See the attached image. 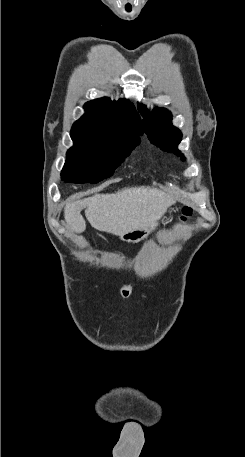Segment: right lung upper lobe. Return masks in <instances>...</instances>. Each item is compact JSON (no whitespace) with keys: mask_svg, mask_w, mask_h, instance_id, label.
<instances>
[{"mask_svg":"<svg viewBox=\"0 0 245 457\" xmlns=\"http://www.w3.org/2000/svg\"><path fill=\"white\" fill-rule=\"evenodd\" d=\"M86 113L75 123L125 126L142 130L141 119L134 105L124 99L117 102L104 97L87 102L84 105Z\"/></svg>","mask_w":245,"mask_h":457,"instance_id":"right-lung-upper-lobe-1","label":"right lung upper lobe"}]
</instances>
